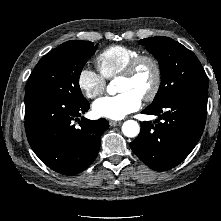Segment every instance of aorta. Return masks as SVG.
<instances>
[{
  "instance_id": "762f6f07",
  "label": "aorta",
  "mask_w": 221,
  "mask_h": 221,
  "mask_svg": "<svg viewBox=\"0 0 221 221\" xmlns=\"http://www.w3.org/2000/svg\"><path fill=\"white\" fill-rule=\"evenodd\" d=\"M107 92L109 94H114L116 92V88L113 85V83H111L108 87H107ZM122 132L126 137H136L139 132H140V126L139 124L134 121V120H127L123 123L122 125Z\"/></svg>"
}]
</instances>
